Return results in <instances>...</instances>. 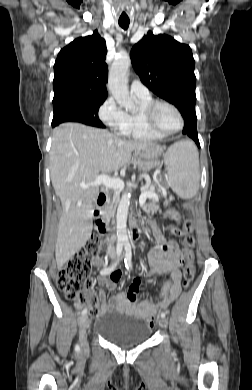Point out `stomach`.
<instances>
[{
	"label": "stomach",
	"mask_w": 252,
	"mask_h": 390,
	"mask_svg": "<svg viewBox=\"0 0 252 390\" xmlns=\"http://www.w3.org/2000/svg\"><path fill=\"white\" fill-rule=\"evenodd\" d=\"M136 162L140 170L148 172L160 164L162 150L158 148H146L136 152Z\"/></svg>",
	"instance_id": "obj_1"
}]
</instances>
